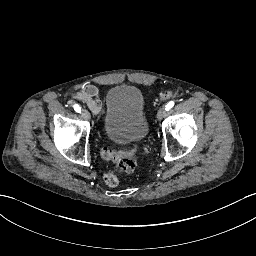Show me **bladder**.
<instances>
[{
  "label": "bladder",
  "instance_id": "bladder-1",
  "mask_svg": "<svg viewBox=\"0 0 256 256\" xmlns=\"http://www.w3.org/2000/svg\"><path fill=\"white\" fill-rule=\"evenodd\" d=\"M107 109L103 116L105 136L118 144L145 140L149 126L143 115L144 99L138 88L118 85L106 94Z\"/></svg>",
  "mask_w": 256,
  "mask_h": 256
}]
</instances>
